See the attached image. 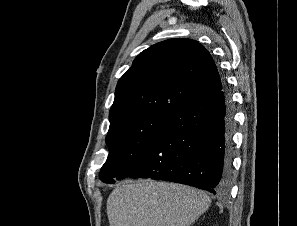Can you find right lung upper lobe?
Listing matches in <instances>:
<instances>
[{"label": "right lung upper lobe", "mask_w": 297, "mask_h": 226, "mask_svg": "<svg viewBox=\"0 0 297 226\" xmlns=\"http://www.w3.org/2000/svg\"><path fill=\"white\" fill-rule=\"evenodd\" d=\"M223 87L212 56L199 42L184 38L159 42L141 52L119 79L110 125L145 113H173Z\"/></svg>", "instance_id": "1"}]
</instances>
